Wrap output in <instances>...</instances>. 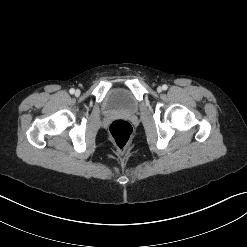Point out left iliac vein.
Masks as SVG:
<instances>
[{
    "mask_svg": "<svg viewBox=\"0 0 247 247\" xmlns=\"http://www.w3.org/2000/svg\"><path fill=\"white\" fill-rule=\"evenodd\" d=\"M157 91L161 92L162 91V87L161 86L157 87Z\"/></svg>",
    "mask_w": 247,
    "mask_h": 247,
    "instance_id": "4c4485c4",
    "label": "left iliac vein"
}]
</instances>
